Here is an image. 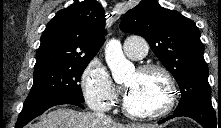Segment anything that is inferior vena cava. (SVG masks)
<instances>
[{
	"mask_svg": "<svg viewBox=\"0 0 221 128\" xmlns=\"http://www.w3.org/2000/svg\"><path fill=\"white\" fill-rule=\"evenodd\" d=\"M95 116L97 117V119H106V115L103 112H96Z\"/></svg>",
	"mask_w": 221,
	"mask_h": 128,
	"instance_id": "inferior-vena-cava-1",
	"label": "inferior vena cava"
}]
</instances>
